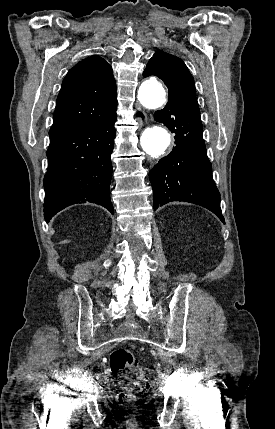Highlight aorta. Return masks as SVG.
Here are the masks:
<instances>
[{
    "instance_id": "762f6f07",
    "label": "aorta",
    "mask_w": 275,
    "mask_h": 429,
    "mask_svg": "<svg viewBox=\"0 0 275 429\" xmlns=\"http://www.w3.org/2000/svg\"><path fill=\"white\" fill-rule=\"evenodd\" d=\"M139 102L147 109H157L166 102V94L162 84L155 78L144 81L138 91ZM143 150L153 158L159 157L171 143L168 130L162 126L146 128L140 137Z\"/></svg>"
}]
</instances>
